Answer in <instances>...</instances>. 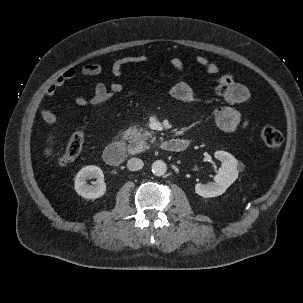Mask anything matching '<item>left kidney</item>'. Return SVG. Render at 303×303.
Returning <instances> with one entry per match:
<instances>
[{
    "mask_svg": "<svg viewBox=\"0 0 303 303\" xmlns=\"http://www.w3.org/2000/svg\"><path fill=\"white\" fill-rule=\"evenodd\" d=\"M214 156L221 161V167L214 176V182H209L208 184L198 183L195 185V192L204 198L217 197L223 194L238 178L239 163L232 154L225 151H216Z\"/></svg>",
    "mask_w": 303,
    "mask_h": 303,
    "instance_id": "5707ae66",
    "label": "left kidney"
}]
</instances>
